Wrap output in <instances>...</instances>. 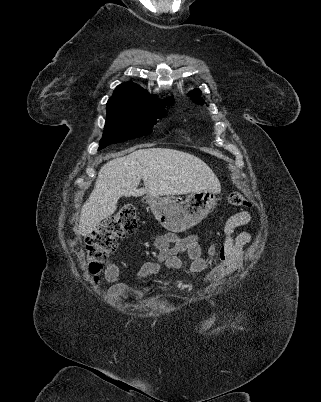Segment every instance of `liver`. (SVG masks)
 <instances>
[{"label": "liver", "mask_w": 321, "mask_h": 402, "mask_svg": "<svg viewBox=\"0 0 321 402\" xmlns=\"http://www.w3.org/2000/svg\"><path fill=\"white\" fill-rule=\"evenodd\" d=\"M141 180L144 188L138 189ZM220 189L211 168L192 154L168 148L134 150L101 167L95 187L81 209L79 234L89 235L111 216L122 196L182 195Z\"/></svg>", "instance_id": "liver-1"}]
</instances>
